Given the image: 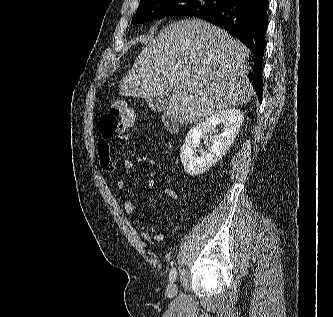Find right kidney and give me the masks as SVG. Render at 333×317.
<instances>
[{"label": "right kidney", "instance_id": "obj_1", "mask_svg": "<svg viewBox=\"0 0 333 317\" xmlns=\"http://www.w3.org/2000/svg\"><path fill=\"white\" fill-rule=\"evenodd\" d=\"M244 116L238 109H225L207 117L203 122L194 125L188 132L180 150L182 165L188 175L198 176L215 165L226 153L239 133ZM223 124L221 133L216 134V126ZM207 133L211 136L206 145L211 144L208 151L196 153L200 139Z\"/></svg>", "mask_w": 333, "mask_h": 317}]
</instances>
